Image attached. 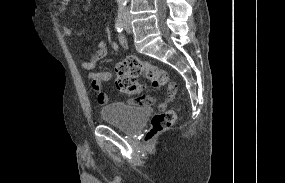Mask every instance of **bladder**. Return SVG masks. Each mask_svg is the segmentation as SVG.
<instances>
[{"mask_svg": "<svg viewBox=\"0 0 285 183\" xmlns=\"http://www.w3.org/2000/svg\"><path fill=\"white\" fill-rule=\"evenodd\" d=\"M151 113L150 106L123 102L107 104L100 110V116L104 122L117 125L126 131L138 128Z\"/></svg>", "mask_w": 285, "mask_h": 183, "instance_id": "31cf9c89", "label": "bladder"}]
</instances>
